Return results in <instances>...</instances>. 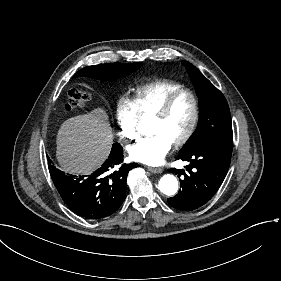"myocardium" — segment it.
I'll return each mask as SVG.
<instances>
[{
	"mask_svg": "<svg viewBox=\"0 0 281 281\" xmlns=\"http://www.w3.org/2000/svg\"><path fill=\"white\" fill-rule=\"evenodd\" d=\"M182 96H187L190 98L192 104V115L188 128L184 134L172 142V144L175 146H181L185 144L193 136L196 130L199 120V103L194 93L186 89L175 92L170 95L155 111L146 116L148 119H161L167 114L171 105Z\"/></svg>",
	"mask_w": 281,
	"mask_h": 281,
	"instance_id": "myocardium-1",
	"label": "myocardium"
}]
</instances>
